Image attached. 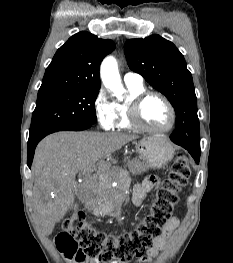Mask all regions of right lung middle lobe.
I'll list each match as a JSON object with an SVG mask.
<instances>
[{
  "instance_id": "dd1d6c3e",
  "label": "right lung middle lobe",
  "mask_w": 233,
  "mask_h": 263,
  "mask_svg": "<svg viewBox=\"0 0 233 263\" xmlns=\"http://www.w3.org/2000/svg\"><path fill=\"white\" fill-rule=\"evenodd\" d=\"M98 93L99 89L76 88L38 95L29 140L62 127L94 124Z\"/></svg>"
}]
</instances>
